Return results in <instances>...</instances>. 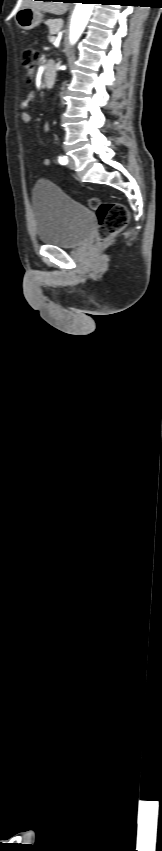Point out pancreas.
Segmentation results:
<instances>
[{
  "instance_id": "cf45deb5",
  "label": "pancreas",
  "mask_w": 162,
  "mask_h": 851,
  "mask_svg": "<svg viewBox=\"0 0 162 851\" xmlns=\"http://www.w3.org/2000/svg\"><path fill=\"white\" fill-rule=\"evenodd\" d=\"M46 24L49 27L50 32L49 40L53 37V35L57 34L63 26L62 20H49Z\"/></svg>"
}]
</instances>
